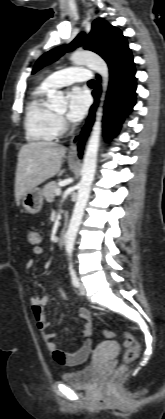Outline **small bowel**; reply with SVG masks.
<instances>
[{
    "label": "small bowel",
    "instance_id": "1",
    "mask_svg": "<svg viewBox=\"0 0 165 419\" xmlns=\"http://www.w3.org/2000/svg\"><path fill=\"white\" fill-rule=\"evenodd\" d=\"M32 235H35L37 237L36 242L31 241ZM28 240L32 244L33 255H42L43 248L39 245L40 237L38 232L30 230L28 232ZM34 264L35 261L33 259H30L26 263V267L30 269L34 266ZM52 289L56 296H58L61 299H67L68 296L61 286L60 278H56L53 281ZM29 302L32 308V313L36 322V326L39 329V331L42 332L46 347L51 352L54 360L58 364L65 366H75L85 362L94 348V343L91 339L92 322L89 310L85 307H81L78 310V316L84 321L83 329L79 338V341L82 342V345L73 352H64L54 342V335L46 333V329L49 327V322L45 318L43 307L48 303V297L44 295L32 296L30 297Z\"/></svg>",
    "mask_w": 165,
    "mask_h": 419
}]
</instances>
